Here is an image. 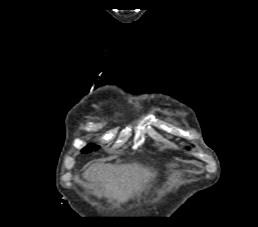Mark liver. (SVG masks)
Masks as SVG:
<instances>
[{
  "mask_svg": "<svg viewBox=\"0 0 258 227\" xmlns=\"http://www.w3.org/2000/svg\"><path fill=\"white\" fill-rule=\"evenodd\" d=\"M83 177L99 188L98 197L124 203L141 193L146 183L155 177V172L137 163H96L85 171Z\"/></svg>",
  "mask_w": 258,
  "mask_h": 227,
  "instance_id": "6515ba94",
  "label": "liver"
}]
</instances>
